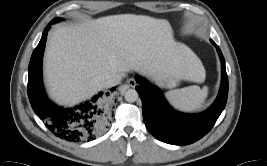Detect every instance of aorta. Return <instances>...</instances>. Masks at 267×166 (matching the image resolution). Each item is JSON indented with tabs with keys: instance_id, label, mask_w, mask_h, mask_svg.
I'll use <instances>...</instances> for the list:
<instances>
[{
	"instance_id": "obj_1",
	"label": "aorta",
	"mask_w": 267,
	"mask_h": 166,
	"mask_svg": "<svg viewBox=\"0 0 267 166\" xmlns=\"http://www.w3.org/2000/svg\"><path fill=\"white\" fill-rule=\"evenodd\" d=\"M139 95L135 89H129L125 92V100L127 102H135L137 101Z\"/></svg>"
}]
</instances>
